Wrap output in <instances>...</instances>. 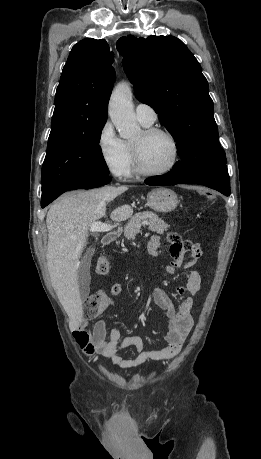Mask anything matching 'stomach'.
I'll use <instances>...</instances> for the list:
<instances>
[{"label": "stomach", "instance_id": "0dacf381", "mask_svg": "<svg viewBox=\"0 0 261 459\" xmlns=\"http://www.w3.org/2000/svg\"><path fill=\"white\" fill-rule=\"evenodd\" d=\"M178 203L176 193L169 188H155L147 195V205L156 212H171Z\"/></svg>", "mask_w": 261, "mask_h": 459}]
</instances>
